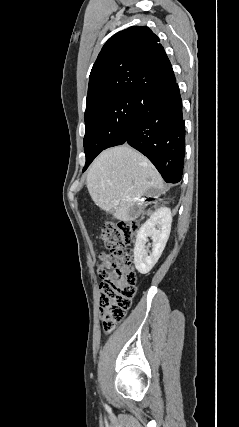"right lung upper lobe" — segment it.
I'll return each instance as SVG.
<instances>
[{
    "instance_id": "right-lung-upper-lobe-1",
    "label": "right lung upper lobe",
    "mask_w": 239,
    "mask_h": 427,
    "mask_svg": "<svg viewBox=\"0 0 239 427\" xmlns=\"http://www.w3.org/2000/svg\"><path fill=\"white\" fill-rule=\"evenodd\" d=\"M174 80L159 38L148 27H129L112 36L99 53L90 73L87 106L105 99L141 96Z\"/></svg>"
}]
</instances>
